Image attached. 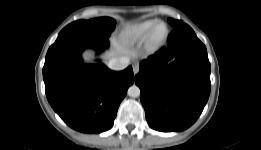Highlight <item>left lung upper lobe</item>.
I'll return each mask as SVG.
<instances>
[{"instance_id": "obj_1", "label": "left lung upper lobe", "mask_w": 261, "mask_h": 150, "mask_svg": "<svg viewBox=\"0 0 261 150\" xmlns=\"http://www.w3.org/2000/svg\"><path fill=\"white\" fill-rule=\"evenodd\" d=\"M168 22L170 23V25L173 27V28H176V27H179L181 25H183L184 23L180 20H174V19H171L169 18L168 19Z\"/></svg>"}]
</instances>
